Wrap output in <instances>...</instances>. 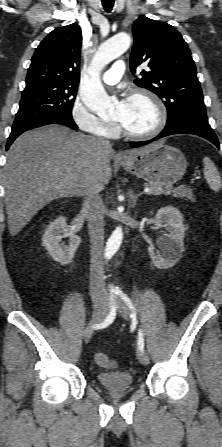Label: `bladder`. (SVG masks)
Returning a JSON list of instances; mask_svg holds the SVG:
<instances>
[{"instance_id": "1", "label": "bladder", "mask_w": 222, "mask_h": 447, "mask_svg": "<svg viewBox=\"0 0 222 447\" xmlns=\"http://www.w3.org/2000/svg\"><path fill=\"white\" fill-rule=\"evenodd\" d=\"M96 379L105 390L111 392L130 389L134 382L132 374L126 370L100 372Z\"/></svg>"}]
</instances>
